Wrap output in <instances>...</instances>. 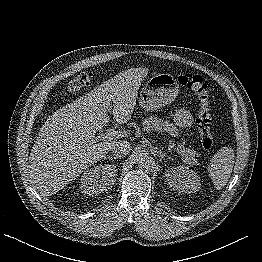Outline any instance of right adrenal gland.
<instances>
[{
    "label": "right adrenal gland",
    "instance_id": "1",
    "mask_svg": "<svg viewBox=\"0 0 262 262\" xmlns=\"http://www.w3.org/2000/svg\"><path fill=\"white\" fill-rule=\"evenodd\" d=\"M105 159L116 160L117 157H116V156L109 155V156L105 157Z\"/></svg>",
    "mask_w": 262,
    "mask_h": 262
}]
</instances>
